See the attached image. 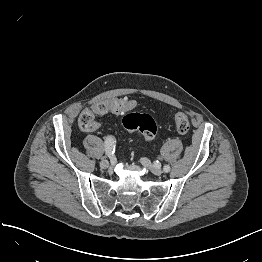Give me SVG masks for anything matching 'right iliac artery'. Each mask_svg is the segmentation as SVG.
<instances>
[{
  "label": "right iliac artery",
  "instance_id": "1",
  "mask_svg": "<svg viewBox=\"0 0 262 262\" xmlns=\"http://www.w3.org/2000/svg\"><path fill=\"white\" fill-rule=\"evenodd\" d=\"M116 139L113 136H107L104 141V147L108 156H113L115 153Z\"/></svg>",
  "mask_w": 262,
  "mask_h": 262
}]
</instances>
